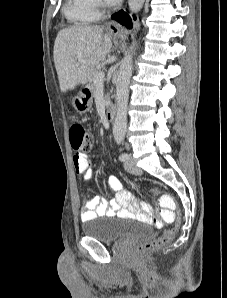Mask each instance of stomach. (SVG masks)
Instances as JSON below:
<instances>
[{
	"instance_id": "stomach-1",
	"label": "stomach",
	"mask_w": 227,
	"mask_h": 298,
	"mask_svg": "<svg viewBox=\"0 0 227 298\" xmlns=\"http://www.w3.org/2000/svg\"><path fill=\"white\" fill-rule=\"evenodd\" d=\"M92 95L91 90L85 87L73 99V107L78 113L83 114L91 109L93 103Z\"/></svg>"
}]
</instances>
